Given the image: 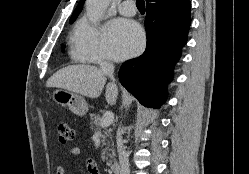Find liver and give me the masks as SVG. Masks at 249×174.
Returning <instances> with one entry per match:
<instances>
[{
	"mask_svg": "<svg viewBox=\"0 0 249 174\" xmlns=\"http://www.w3.org/2000/svg\"><path fill=\"white\" fill-rule=\"evenodd\" d=\"M106 74L92 65H71L54 73L47 81V87H56L90 98L100 96L106 83ZM118 90L114 83L106 86L105 98L108 104L116 103Z\"/></svg>",
	"mask_w": 249,
	"mask_h": 174,
	"instance_id": "liver-1",
	"label": "liver"
}]
</instances>
